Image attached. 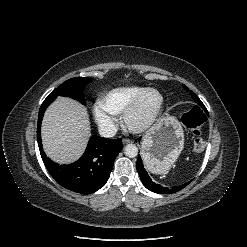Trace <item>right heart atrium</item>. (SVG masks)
I'll return each mask as SVG.
<instances>
[{"instance_id":"d8ad5b80","label":"right heart atrium","mask_w":247,"mask_h":247,"mask_svg":"<svg viewBox=\"0 0 247 247\" xmlns=\"http://www.w3.org/2000/svg\"><path fill=\"white\" fill-rule=\"evenodd\" d=\"M93 114L97 124L104 133L112 134L115 131L117 121L101 102L94 104Z\"/></svg>"}]
</instances>
